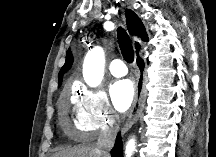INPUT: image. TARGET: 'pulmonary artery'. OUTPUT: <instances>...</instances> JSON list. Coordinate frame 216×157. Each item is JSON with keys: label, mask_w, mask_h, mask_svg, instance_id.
Returning a JSON list of instances; mask_svg holds the SVG:
<instances>
[{"label": "pulmonary artery", "mask_w": 216, "mask_h": 157, "mask_svg": "<svg viewBox=\"0 0 216 157\" xmlns=\"http://www.w3.org/2000/svg\"><path fill=\"white\" fill-rule=\"evenodd\" d=\"M109 70L115 77H122L127 74V67L120 59H114L109 65Z\"/></svg>", "instance_id": "1"}]
</instances>
